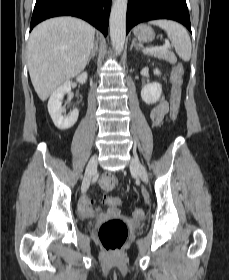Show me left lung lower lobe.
I'll return each mask as SVG.
<instances>
[{"label":"left lung lower lobe","mask_w":229,"mask_h":280,"mask_svg":"<svg viewBox=\"0 0 229 280\" xmlns=\"http://www.w3.org/2000/svg\"><path fill=\"white\" fill-rule=\"evenodd\" d=\"M156 19L178 21L191 32L190 17L185 0H129L126 34L138 23Z\"/></svg>","instance_id":"left-lung-lower-lobe-1"}]
</instances>
